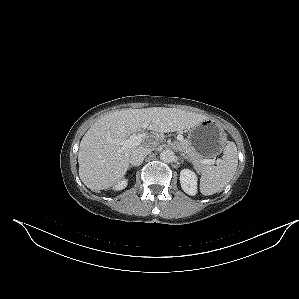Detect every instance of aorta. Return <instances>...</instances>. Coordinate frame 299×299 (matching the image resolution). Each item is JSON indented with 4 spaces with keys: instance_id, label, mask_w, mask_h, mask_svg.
Listing matches in <instances>:
<instances>
[{
    "instance_id": "aorta-1",
    "label": "aorta",
    "mask_w": 299,
    "mask_h": 299,
    "mask_svg": "<svg viewBox=\"0 0 299 299\" xmlns=\"http://www.w3.org/2000/svg\"><path fill=\"white\" fill-rule=\"evenodd\" d=\"M175 154L171 149H165L160 153V159L165 163H170L174 160Z\"/></svg>"
}]
</instances>
